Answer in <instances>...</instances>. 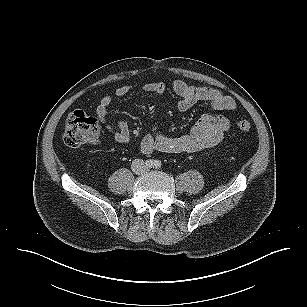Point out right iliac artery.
I'll use <instances>...</instances> for the list:
<instances>
[{"instance_id":"82829eb1","label":"right iliac artery","mask_w":307,"mask_h":307,"mask_svg":"<svg viewBox=\"0 0 307 307\" xmlns=\"http://www.w3.org/2000/svg\"><path fill=\"white\" fill-rule=\"evenodd\" d=\"M145 165H146L147 168H152L153 165H154V161L151 160V159H149V160H147V161L145 162Z\"/></svg>"}]
</instances>
